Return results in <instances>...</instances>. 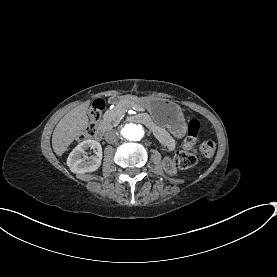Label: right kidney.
Returning a JSON list of instances; mask_svg holds the SVG:
<instances>
[{
    "instance_id": "obj_1",
    "label": "right kidney",
    "mask_w": 277,
    "mask_h": 277,
    "mask_svg": "<svg viewBox=\"0 0 277 277\" xmlns=\"http://www.w3.org/2000/svg\"><path fill=\"white\" fill-rule=\"evenodd\" d=\"M89 148L95 152L92 158L83 155ZM67 166L74 174H85L97 171L102 166L101 145L95 140L81 142L69 154Z\"/></svg>"
}]
</instances>
